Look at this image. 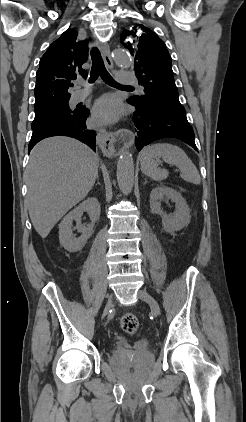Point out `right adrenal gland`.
<instances>
[{
	"mask_svg": "<svg viewBox=\"0 0 246 422\" xmlns=\"http://www.w3.org/2000/svg\"><path fill=\"white\" fill-rule=\"evenodd\" d=\"M97 184H99V185H100L99 178H97Z\"/></svg>",
	"mask_w": 246,
	"mask_h": 422,
	"instance_id": "1",
	"label": "right adrenal gland"
}]
</instances>
